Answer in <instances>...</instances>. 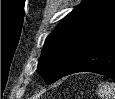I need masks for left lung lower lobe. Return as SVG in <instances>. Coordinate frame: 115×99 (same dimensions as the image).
Listing matches in <instances>:
<instances>
[{
	"mask_svg": "<svg viewBox=\"0 0 115 99\" xmlns=\"http://www.w3.org/2000/svg\"><path fill=\"white\" fill-rule=\"evenodd\" d=\"M77 72H94L115 80V28L83 52L63 76Z\"/></svg>",
	"mask_w": 115,
	"mask_h": 99,
	"instance_id": "obj_1",
	"label": "left lung lower lobe"
}]
</instances>
